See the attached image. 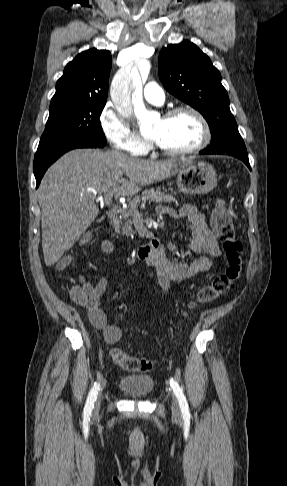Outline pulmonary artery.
I'll return each mask as SVG.
<instances>
[{"mask_svg": "<svg viewBox=\"0 0 287 486\" xmlns=\"http://www.w3.org/2000/svg\"><path fill=\"white\" fill-rule=\"evenodd\" d=\"M143 96L148 102L155 105H161L165 100L162 88L155 82H149L145 85Z\"/></svg>", "mask_w": 287, "mask_h": 486, "instance_id": "obj_1", "label": "pulmonary artery"}]
</instances>
